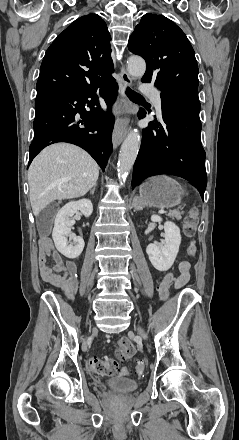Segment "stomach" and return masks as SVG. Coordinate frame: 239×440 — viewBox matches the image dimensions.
<instances>
[{
    "label": "stomach",
    "instance_id": "0dacf381",
    "mask_svg": "<svg viewBox=\"0 0 239 440\" xmlns=\"http://www.w3.org/2000/svg\"><path fill=\"white\" fill-rule=\"evenodd\" d=\"M141 204L154 208H174L181 204L183 190L180 184L167 176H153L139 188Z\"/></svg>",
    "mask_w": 239,
    "mask_h": 440
}]
</instances>
